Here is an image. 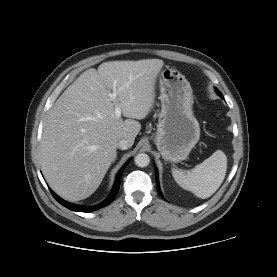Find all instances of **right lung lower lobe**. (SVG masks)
<instances>
[{
    "label": "right lung lower lobe",
    "instance_id": "right-lung-lower-lobe-1",
    "mask_svg": "<svg viewBox=\"0 0 277 277\" xmlns=\"http://www.w3.org/2000/svg\"><path fill=\"white\" fill-rule=\"evenodd\" d=\"M129 162V161H128ZM127 162V163H128ZM127 163L120 169V171L117 173L116 175V181L115 184L113 186V189L111 191V194L109 195V197L100 205H97L95 207H83V206H79V205H75V204H71L69 202L64 201L63 199H61L59 196H57L54 192L51 193L53 195V197L63 206H65L66 208L73 210V211H78V212H90V211H94L97 209H100L102 207H105L107 205H109L110 203L113 202V200L115 199L118 191H119V187H120V182H121V176L122 173L127 165Z\"/></svg>",
    "mask_w": 277,
    "mask_h": 277
}]
</instances>
